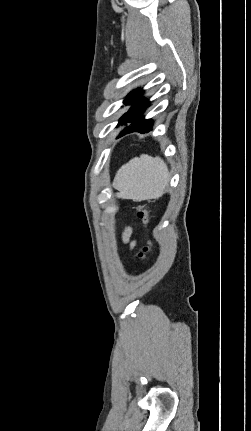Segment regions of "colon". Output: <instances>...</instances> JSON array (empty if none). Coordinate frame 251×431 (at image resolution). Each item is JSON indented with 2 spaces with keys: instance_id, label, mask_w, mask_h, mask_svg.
I'll return each instance as SVG.
<instances>
[{
  "instance_id": "5ec220e1",
  "label": "colon",
  "mask_w": 251,
  "mask_h": 431,
  "mask_svg": "<svg viewBox=\"0 0 251 431\" xmlns=\"http://www.w3.org/2000/svg\"><path fill=\"white\" fill-rule=\"evenodd\" d=\"M138 217L143 221L144 224H148L152 218L149 211L144 207L139 208ZM154 247V243L152 241H148V243L138 253L137 261L139 263H144L154 253Z\"/></svg>"
}]
</instances>
